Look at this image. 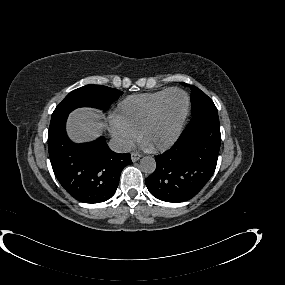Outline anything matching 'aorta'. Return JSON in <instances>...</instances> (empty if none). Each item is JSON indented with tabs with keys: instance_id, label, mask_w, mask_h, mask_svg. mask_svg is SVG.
Instances as JSON below:
<instances>
[{
	"instance_id": "762f6f07",
	"label": "aorta",
	"mask_w": 285,
	"mask_h": 285,
	"mask_svg": "<svg viewBox=\"0 0 285 285\" xmlns=\"http://www.w3.org/2000/svg\"><path fill=\"white\" fill-rule=\"evenodd\" d=\"M140 169L146 174H152L156 169V161L151 156H145L140 160Z\"/></svg>"
}]
</instances>
